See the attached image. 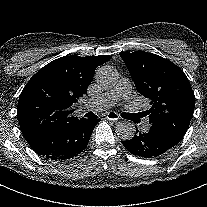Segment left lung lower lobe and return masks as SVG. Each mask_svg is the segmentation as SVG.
<instances>
[{
  "mask_svg": "<svg viewBox=\"0 0 207 207\" xmlns=\"http://www.w3.org/2000/svg\"><path fill=\"white\" fill-rule=\"evenodd\" d=\"M136 133L132 139L122 141L124 147L136 156L157 157L177 145L168 135L155 128H150L147 133H141L136 128Z\"/></svg>",
  "mask_w": 207,
  "mask_h": 207,
  "instance_id": "obj_1",
  "label": "left lung lower lobe"
}]
</instances>
